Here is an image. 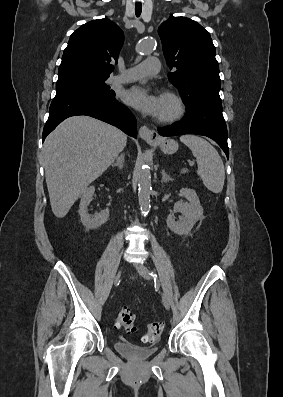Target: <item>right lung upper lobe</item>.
Returning <instances> with one entry per match:
<instances>
[{"label":"right lung upper lobe","mask_w":283,"mask_h":397,"mask_svg":"<svg viewBox=\"0 0 283 397\" xmlns=\"http://www.w3.org/2000/svg\"><path fill=\"white\" fill-rule=\"evenodd\" d=\"M124 33L107 18L90 21L74 31L64 50L58 79L71 76H108L114 70Z\"/></svg>","instance_id":"obj_1"}]
</instances>
